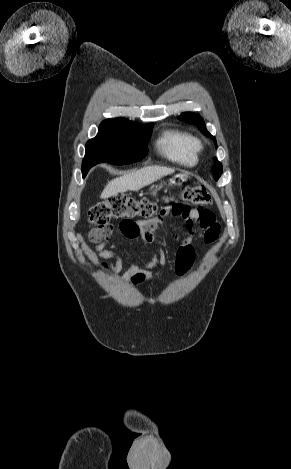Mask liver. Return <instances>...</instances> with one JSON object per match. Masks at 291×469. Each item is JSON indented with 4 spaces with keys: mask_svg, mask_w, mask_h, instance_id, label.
Segmentation results:
<instances>
[{
    "mask_svg": "<svg viewBox=\"0 0 291 469\" xmlns=\"http://www.w3.org/2000/svg\"><path fill=\"white\" fill-rule=\"evenodd\" d=\"M174 173V169L161 166H148L138 171L116 178L105 186L101 198L116 196L127 190L138 191L146 185L153 183L159 178Z\"/></svg>",
    "mask_w": 291,
    "mask_h": 469,
    "instance_id": "liver-1",
    "label": "liver"
}]
</instances>
